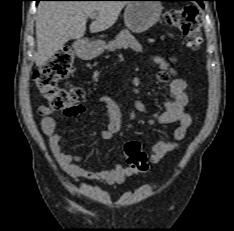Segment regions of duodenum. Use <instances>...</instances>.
Instances as JSON below:
<instances>
[{
  "instance_id": "1",
  "label": "duodenum",
  "mask_w": 234,
  "mask_h": 231,
  "mask_svg": "<svg viewBox=\"0 0 234 231\" xmlns=\"http://www.w3.org/2000/svg\"><path fill=\"white\" fill-rule=\"evenodd\" d=\"M76 49L81 53H85L87 51V42L86 41L78 42Z\"/></svg>"
}]
</instances>
